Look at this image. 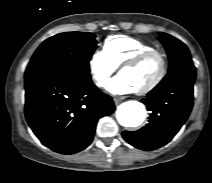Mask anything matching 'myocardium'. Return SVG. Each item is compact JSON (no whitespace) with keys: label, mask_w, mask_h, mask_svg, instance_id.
I'll use <instances>...</instances> for the list:
<instances>
[{"label":"myocardium","mask_w":212,"mask_h":183,"mask_svg":"<svg viewBox=\"0 0 212 183\" xmlns=\"http://www.w3.org/2000/svg\"><path fill=\"white\" fill-rule=\"evenodd\" d=\"M154 56L158 57L161 62L160 71H159L158 75L156 76V78L149 85L145 86L144 88L136 90V93L139 95H144V94L150 93L155 88H157L159 86V84L163 81V79L166 75V72H167V68H168V61H167L166 55L162 51L157 50V49L148 50V51L142 52V53L138 54L137 56L129 59L128 61L124 62L120 66L119 72L121 74L122 71H124L126 69H130V68H134V67L140 65L141 63H143L144 61H146L147 59L154 57Z\"/></svg>","instance_id":"obj_1"}]
</instances>
